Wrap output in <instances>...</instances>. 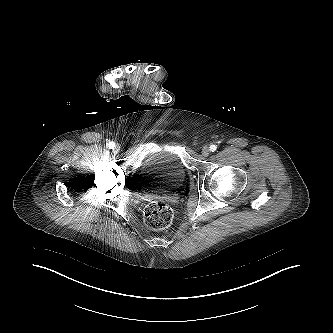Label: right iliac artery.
<instances>
[{"label":"right iliac artery","instance_id":"1","mask_svg":"<svg viewBox=\"0 0 333 333\" xmlns=\"http://www.w3.org/2000/svg\"><path fill=\"white\" fill-rule=\"evenodd\" d=\"M107 146L109 147V148H114L115 147V143L114 142H109L108 144H107Z\"/></svg>","mask_w":333,"mask_h":333}]
</instances>
